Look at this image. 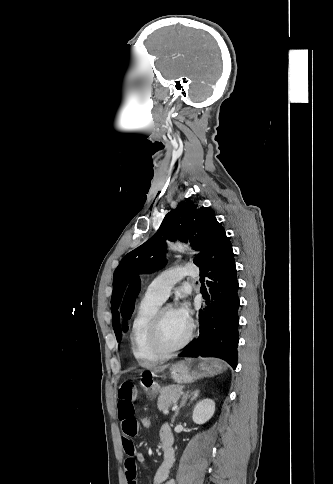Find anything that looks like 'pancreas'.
I'll return each instance as SVG.
<instances>
[{
  "mask_svg": "<svg viewBox=\"0 0 333 484\" xmlns=\"http://www.w3.org/2000/svg\"><path fill=\"white\" fill-rule=\"evenodd\" d=\"M183 387L178 385H169L161 389L157 406L159 411L167 410L175 401L183 395Z\"/></svg>",
  "mask_w": 333,
  "mask_h": 484,
  "instance_id": "1",
  "label": "pancreas"
}]
</instances>
